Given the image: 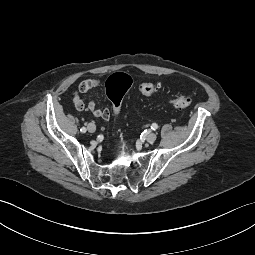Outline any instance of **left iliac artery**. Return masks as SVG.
<instances>
[{"instance_id":"44dca946","label":"left iliac artery","mask_w":255,"mask_h":255,"mask_svg":"<svg viewBox=\"0 0 255 255\" xmlns=\"http://www.w3.org/2000/svg\"><path fill=\"white\" fill-rule=\"evenodd\" d=\"M151 128H152L153 130H156V129H158V125L154 123V124H152Z\"/></svg>"}]
</instances>
